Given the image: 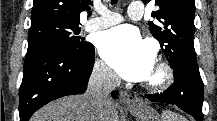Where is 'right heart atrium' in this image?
<instances>
[{
    "label": "right heart atrium",
    "instance_id": "obj_1",
    "mask_svg": "<svg viewBox=\"0 0 217 121\" xmlns=\"http://www.w3.org/2000/svg\"><path fill=\"white\" fill-rule=\"evenodd\" d=\"M94 75L103 82H113L115 80L114 73L99 59L94 64Z\"/></svg>",
    "mask_w": 217,
    "mask_h": 121
}]
</instances>
